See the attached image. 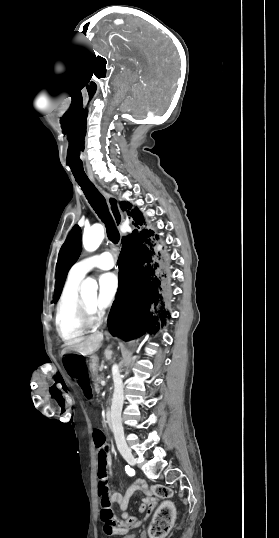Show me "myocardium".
Segmentation results:
<instances>
[{
  "instance_id": "f54148a6",
  "label": "myocardium",
  "mask_w": 279,
  "mask_h": 538,
  "mask_svg": "<svg viewBox=\"0 0 279 538\" xmlns=\"http://www.w3.org/2000/svg\"><path fill=\"white\" fill-rule=\"evenodd\" d=\"M72 320L76 325L93 326L98 320L97 303H92L81 295L72 311Z\"/></svg>"
}]
</instances>
